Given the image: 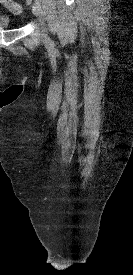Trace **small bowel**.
Segmentation results:
<instances>
[{
  "instance_id": "small-bowel-1",
  "label": "small bowel",
  "mask_w": 133,
  "mask_h": 275,
  "mask_svg": "<svg viewBox=\"0 0 133 275\" xmlns=\"http://www.w3.org/2000/svg\"><path fill=\"white\" fill-rule=\"evenodd\" d=\"M9 1H10V0H0V2H2V3H3L4 5H6V6L8 5Z\"/></svg>"
}]
</instances>
